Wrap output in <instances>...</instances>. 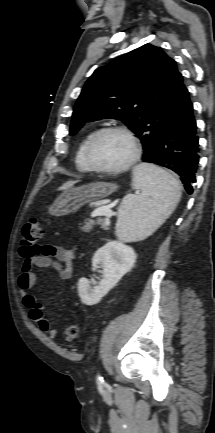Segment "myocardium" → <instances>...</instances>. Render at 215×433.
<instances>
[{
	"label": "myocardium",
	"mask_w": 215,
	"mask_h": 433,
	"mask_svg": "<svg viewBox=\"0 0 215 433\" xmlns=\"http://www.w3.org/2000/svg\"><path fill=\"white\" fill-rule=\"evenodd\" d=\"M119 133L125 136L131 144L132 154L130 158L121 166L115 168H104L97 166L92 159V148L96 141L105 134ZM141 154L140 143L136 135L126 127L123 126H108L99 129L88 141L85 148V159L92 171L107 173V174H121L131 169L139 160Z\"/></svg>",
	"instance_id": "f54148a6"
}]
</instances>
